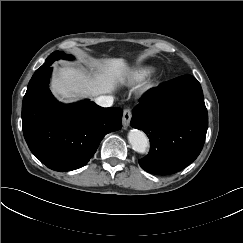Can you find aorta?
Listing matches in <instances>:
<instances>
[{
  "label": "aorta",
  "mask_w": 243,
  "mask_h": 243,
  "mask_svg": "<svg viewBox=\"0 0 243 243\" xmlns=\"http://www.w3.org/2000/svg\"><path fill=\"white\" fill-rule=\"evenodd\" d=\"M128 141L138 153H145L149 147V140L144 132L133 129L128 134Z\"/></svg>",
  "instance_id": "aorta-1"
}]
</instances>
